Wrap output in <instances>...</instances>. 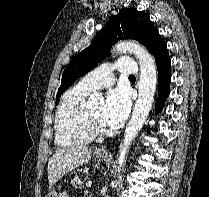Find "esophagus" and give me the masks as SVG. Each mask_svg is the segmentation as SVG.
Wrapping results in <instances>:
<instances>
[{
    "label": "esophagus",
    "mask_w": 209,
    "mask_h": 197,
    "mask_svg": "<svg viewBox=\"0 0 209 197\" xmlns=\"http://www.w3.org/2000/svg\"><path fill=\"white\" fill-rule=\"evenodd\" d=\"M97 152L103 153V154H108V150L106 147H100L98 148Z\"/></svg>",
    "instance_id": "obj_1"
}]
</instances>
